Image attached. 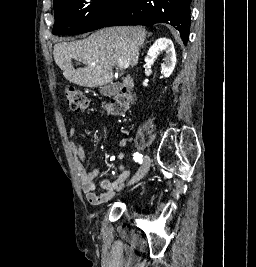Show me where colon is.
I'll return each instance as SVG.
<instances>
[{
	"label": "colon",
	"mask_w": 256,
	"mask_h": 267,
	"mask_svg": "<svg viewBox=\"0 0 256 267\" xmlns=\"http://www.w3.org/2000/svg\"><path fill=\"white\" fill-rule=\"evenodd\" d=\"M65 103L73 112H85L89 107V100L86 94L77 88L66 89ZM131 104V97L127 93H123L115 98H112L106 105V109L117 115L125 114Z\"/></svg>",
	"instance_id": "5ec220e1"
}]
</instances>
